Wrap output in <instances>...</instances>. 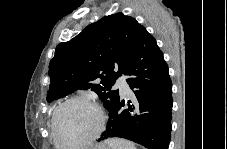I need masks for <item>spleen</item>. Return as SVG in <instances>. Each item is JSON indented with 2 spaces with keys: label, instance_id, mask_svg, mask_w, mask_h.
I'll return each mask as SVG.
<instances>
[{
  "label": "spleen",
  "instance_id": "1",
  "mask_svg": "<svg viewBox=\"0 0 227 149\" xmlns=\"http://www.w3.org/2000/svg\"><path fill=\"white\" fill-rule=\"evenodd\" d=\"M111 149H136L135 145L128 140L121 138H112L106 141Z\"/></svg>",
  "mask_w": 227,
  "mask_h": 149
}]
</instances>
